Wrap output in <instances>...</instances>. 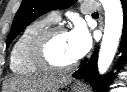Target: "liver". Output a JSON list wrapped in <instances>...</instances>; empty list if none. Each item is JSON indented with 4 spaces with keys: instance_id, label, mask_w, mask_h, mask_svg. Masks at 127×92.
<instances>
[{
    "instance_id": "liver-1",
    "label": "liver",
    "mask_w": 127,
    "mask_h": 92,
    "mask_svg": "<svg viewBox=\"0 0 127 92\" xmlns=\"http://www.w3.org/2000/svg\"><path fill=\"white\" fill-rule=\"evenodd\" d=\"M69 83L71 79L65 76H15L4 82L2 92H57Z\"/></svg>"
}]
</instances>
